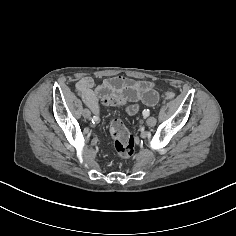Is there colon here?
Returning a JSON list of instances; mask_svg holds the SVG:
<instances>
[{
    "label": "colon",
    "mask_w": 236,
    "mask_h": 236,
    "mask_svg": "<svg viewBox=\"0 0 236 236\" xmlns=\"http://www.w3.org/2000/svg\"><path fill=\"white\" fill-rule=\"evenodd\" d=\"M164 97L173 101L176 94L172 90L164 91ZM105 105H124L127 97L120 94H106L101 98ZM110 134L113 138L115 151L119 156L129 159L133 156L135 150V139L121 119L115 118L110 122Z\"/></svg>",
    "instance_id": "colon-1"
}]
</instances>
